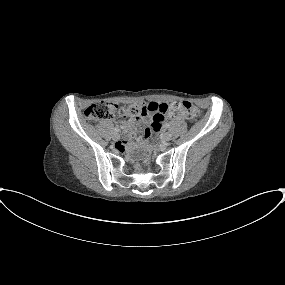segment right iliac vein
I'll list each match as a JSON object with an SVG mask.
<instances>
[{
	"instance_id": "obj_1",
	"label": "right iliac vein",
	"mask_w": 285,
	"mask_h": 285,
	"mask_svg": "<svg viewBox=\"0 0 285 285\" xmlns=\"http://www.w3.org/2000/svg\"><path fill=\"white\" fill-rule=\"evenodd\" d=\"M113 139H114L115 141L119 140V139H120V135H119L118 133H114V134H113Z\"/></svg>"
}]
</instances>
